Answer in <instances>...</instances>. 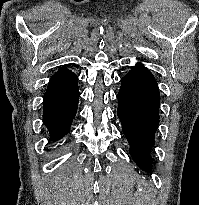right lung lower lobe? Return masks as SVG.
Returning a JSON list of instances; mask_svg holds the SVG:
<instances>
[{
	"instance_id": "98d812e1",
	"label": "right lung lower lobe",
	"mask_w": 199,
	"mask_h": 205,
	"mask_svg": "<svg viewBox=\"0 0 199 205\" xmlns=\"http://www.w3.org/2000/svg\"><path fill=\"white\" fill-rule=\"evenodd\" d=\"M78 78L73 73H55L43 97V122L51 140L69 132L79 100Z\"/></svg>"
}]
</instances>
